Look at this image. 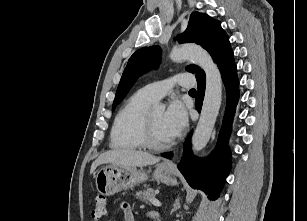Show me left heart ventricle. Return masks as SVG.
<instances>
[{"mask_svg": "<svg viewBox=\"0 0 307 221\" xmlns=\"http://www.w3.org/2000/svg\"><path fill=\"white\" fill-rule=\"evenodd\" d=\"M152 123L154 129V138L159 143H164L170 140L164 126V112L152 111Z\"/></svg>", "mask_w": 307, "mask_h": 221, "instance_id": "b2bd125f", "label": "left heart ventricle"}]
</instances>
